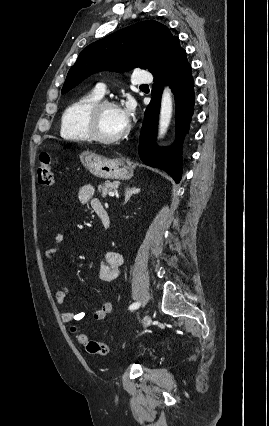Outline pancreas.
Masks as SVG:
<instances>
[{
  "mask_svg": "<svg viewBox=\"0 0 269 426\" xmlns=\"http://www.w3.org/2000/svg\"><path fill=\"white\" fill-rule=\"evenodd\" d=\"M118 185H119L118 182L105 181L103 184H100L98 186V190H99V192L102 193V196L105 197L108 192H110L113 189L118 188Z\"/></svg>",
  "mask_w": 269,
  "mask_h": 426,
  "instance_id": "pancreas-1",
  "label": "pancreas"
}]
</instances>
